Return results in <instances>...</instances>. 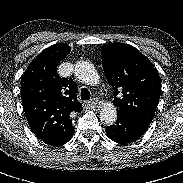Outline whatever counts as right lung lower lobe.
<instances>
[{"label": "right lung lower lobe", "instance_id": "1", "mask_svg": "<svg viewBox=\"0 0 183 183\" xmlns=\"http://www.w3.org/2000/svg\"><path fill=\"white\" fill-rule=\"evenodd\" d=\"M72 137L64 140V141H56V142H45L46 144L48 145H51V146H61L63 144H65L66 142H68Z\"/></svg>", "mask_w": 183, "mask_h": 183}]
</instances>
